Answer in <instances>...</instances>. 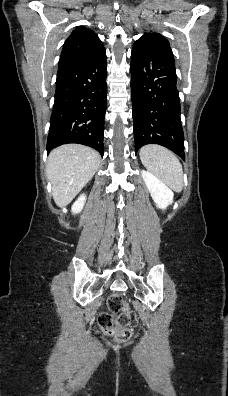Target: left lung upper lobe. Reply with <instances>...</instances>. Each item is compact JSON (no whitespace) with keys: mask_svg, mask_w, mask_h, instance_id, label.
<instances>
[{"mask_svg":"<svg viewBox=\"0 0 228 396\" xmlns=\"http://www.w3.org/2000/svg\"><path fill=\"white\" fill-rule=\"evenodd\" d=\"M137 41H146V42H154L156 44H159L165 48H167L168 50H171L169 42L167 41L166 38H164L162 35L158 34V33H147L145 35H143L140 39H138Z\"/></svg>","mask_w":228,"mask_h":396,"instance_id":"5c2ea615","label":"left lung upper lobe"}]
</instances>
